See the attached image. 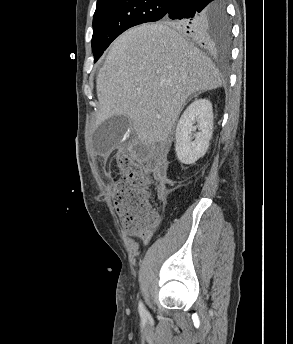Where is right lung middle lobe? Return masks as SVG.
<instances>
[{
	"label": "right lung middle lobe",
	"mask_w": 293,
	"mask_h": 344,
	"mask_svg": "<svg viewBox=\"0 0 293 344\" xmlns=\"http://www.w3.org/2000/svg\"><path fill=\"white\" fill-rule=\"evenodd\" d=\"M171 0H105L97 3L93 17L92 50L96 62L110 43L125 30L146 22L163 19L173 27L182 29L181 21H169L166 15L172 5ZM206 19L207 39L227 51L230 45V25L222 0Z\"/></svg>",
	"instance_id": "right-lung-middle-lobe-1"
}]
</instances>
